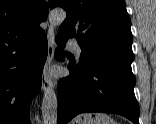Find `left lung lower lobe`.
I'll return each instance as SVG.
<instances>
[{"label": "left lung lower lobe", "instance_id": "obj_1", "mask_svg": "<svg viewBox=\"0 0 156 124\" xmlns=\"http://www.w3.org/2000/svg\"><path fill=\"white\" fill-rule=\"evenodd\" d=\"M68 37L58 34L64 47ZM58 60L64 57L56 52ZM70 75L58 84V124H66L80 113L105 112L122 115L139 124V106L134 94L132 70L112 60H98L79 67L68 65Z\"/></svg>", "mask_w": 156, "mask_h": 124}]
</instances>
